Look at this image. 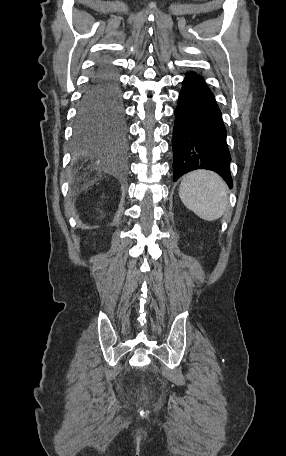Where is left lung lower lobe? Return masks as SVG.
<instances>
[{"label":"left lung lower lobe","instance_id":"1","mask_svg":"<svg viewBox=\"0 0 286 456\" xmlns=\"http://www.w3.org/2000/svg\"><path fill=\"white\" fill-rule=\"evenodd\" d=\"M226 134L213 93L197 73H187L175 109L173 181L189 171L208 169L232 188Z\"/></svg>","mask_w":286,"mask_h":456}]
</instances>
